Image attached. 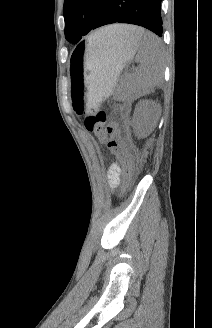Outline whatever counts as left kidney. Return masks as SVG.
I'll list each match as a JSON object with an SVG mask.
<instances>
[{
    "instance_id": "1",
    "label": "left kidney",
    "mask_w": 212,
    "mask_h": 328,
    "mask_svg": "<svg viewBox=\"0 0 212 328\" xmlns=\"http://www.w3.org/2000/svg\"><path fill=\"white\" fill-rule=\"evenodd\" d=\"M161 113L160 105L151 100L140 101L135 108L131 125L138 137L150 134L159 120Z\"/></svg>"
}]
</instances>
